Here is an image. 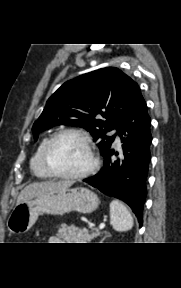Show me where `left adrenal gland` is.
Returning a JSON list of instances; mask_svg holds the SVG:
<instances>
[{
    "label": "left adrenal gland",
    "instance_id": "a2214340",
    "mask_svg": "<svg viewBox=\"0 0 181 288\" xmlns=\"http://www.w3.org/2000/svg\"><path fill=\"white\" fill-rule=\"evenodd\" d=\"M107 237H108V235H106L105 237H103L102 240L100 241V243H102V241H104Z\"/></svg>",
    "mask_w": 181,
    "mask_h": 288
}]
</instances>
